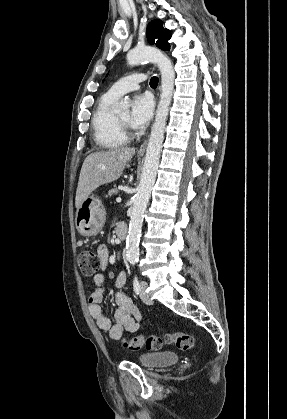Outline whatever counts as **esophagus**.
I'll use <instances>...</instances> for the list:
<instances>
[{"mask_svg":"<svg viewBox=\"0 0 287 419\" xmlns=\"http://www.w3.org/2000/svg\"><path fill=\"white\" fill-rule=\"evenodd\" d=\"M146 146H147V140H145V141L141 144L140 148L138 149V153H144V152H145V150H146Z\"/></svg>","mask_w":287,"mask_h":419,"instance_id":"34e87169","label":"esophagus"}]
</instances>
